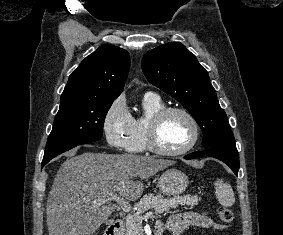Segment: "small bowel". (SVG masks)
<instances>
[{
	"label": "small bowel",
	"instance_id": "c3829d8e",
	"mask_svg": "<svg viewBox=\"0 0 283 235\" xmlns=\"http://www.w3.org/2000/svg\"><path fill=\"white\" fill-rule=\"evenodd\" d=\"M158 223L161 224L162 233L167 230L173 232V235H182L191 227L224 229V225L216 223L207 215L197 212L175 213L166 222Z\"/></svg>",
	"mask_w": 283,
	"mask_h": 235
}]
</instances>
